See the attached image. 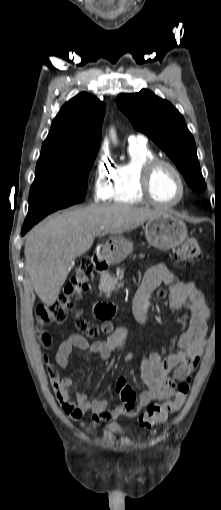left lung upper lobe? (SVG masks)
Wrapping results in <instances>:
<instances>
[{"label": "left lung upper lobe", "instance_id": "5c2ea615", "mask_svg": "<svg viewBox=\"0 0 221 510\" xmlns=\"http://www.w3.org/2000/svg\"><path fill=\"white\" fill-rule=\"evenodd\" d=\"M116 103L134 128L145 133L172 159L190 188L203 192L206 183L200 171L195 141L179 111L149 90L122 93Z\"/></svg>", "mask_w": 221, "mask_h": 510}]
</instances>
